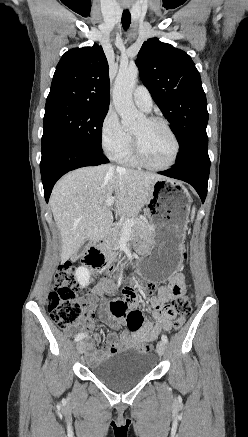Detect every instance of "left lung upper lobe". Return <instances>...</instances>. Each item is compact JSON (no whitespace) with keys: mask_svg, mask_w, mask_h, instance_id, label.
<instances>
[{"mask_svg":"<svg viewBox=\"0 0 248 437\" xmlns=\"http://www.w3.org/2000/svg\"><path fill=\"white\" fill-rule=\"evenodd\" d=\"M140 78L179 142L176 161L208 138L207 101L191 57L157 38L143 43L136 60Z\"/></svg>","mask_w":248,"mask_h":437,"instance_id":"5c2ea615","label":"left lung upper lobe"}]
</instances>
